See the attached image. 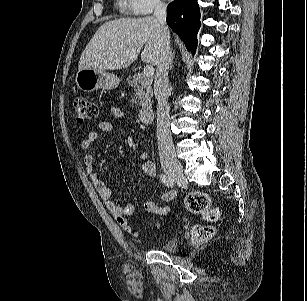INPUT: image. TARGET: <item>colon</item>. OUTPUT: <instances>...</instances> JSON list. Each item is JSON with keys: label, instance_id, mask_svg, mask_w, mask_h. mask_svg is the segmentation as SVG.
Masks as SVG:
<instances>
[{"label": "colon", "instance_id": "1", "mask_svg": "<svg viewBox=\"0 0 307 301\" xmlns=\"http://www.w3.org/2000/svg\"><path fill=\"white\" fill-rule=\"evenodd\" d=\"M72 109L75 119L78 123H85L97 117L98 108L94 101L82 96L75 97L72 101ZM185 207L194 214H200L208 221H216L220 212L211 205V199L208 194L202 191L189 193L185 198ZM215 233L213 227L208 225H197L191 230L192 242L201 244L210 239Z\"/></svg>", "mask_w": 307, "mask_h": 301}]
</instances>
